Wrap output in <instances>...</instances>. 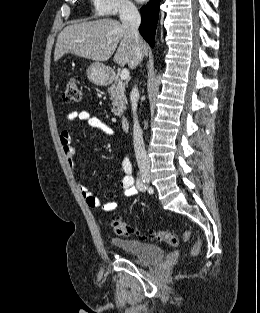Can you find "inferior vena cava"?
<instances>
[{
    "mask_svg": "<svg viewBox=\"0 0 260 313\" xmlns=\"http://www.w3.org/2000/svg\"><path fill=\"white\" fill-rule=\"evenodd\" d=\"M119 16L122 24L130 29V32L133 36L135 42V52L139 63L143 58V53L140 48V35L138 31L141 22L140 14L133 3L125 1L121 4ZM138 98L139 93L137 87L135 86L130 94L131 107L134 115V125H133L134 151L138 166L149 168L150 161L145 150V144L142 137V130L140 128L136 115Z\"/></svg>",
    "mask_w": 260,
    "mask_h": 313,
    "instance_id": "602c4592",
    "label": "inferior vena cava"
}]
</instances>
